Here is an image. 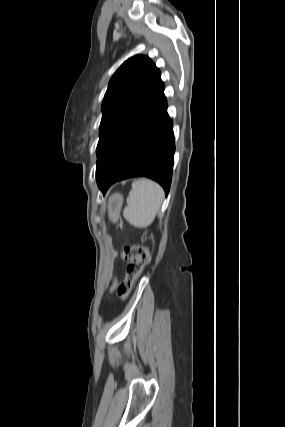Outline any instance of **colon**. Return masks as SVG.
Returning <instances> with one entry per match:
<instances>
[{
    "label": "colon",
    "mask_w": 285,
    "mask_h": 427,
    "mask_svg": "<svg viewBox=\"0 0 285 427\" xmlns=\"http://www.w3.org/2000/svg\"><path fill=\"white\" fill-rule=\"evenodd\" d=\"M119 256L127 262L125 278L117 290L118 297L124 301L128 298L144 267L149 263L150 255L144 246L126 245L119 252Z\"/></svg>",
    "instance_id": "5ec220e1"
}]
</instances>
